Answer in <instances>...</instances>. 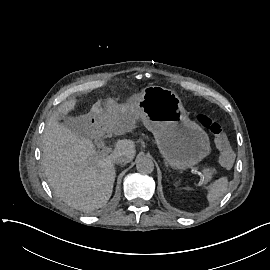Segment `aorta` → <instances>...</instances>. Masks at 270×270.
I'll use <instances>...</instances> for the list:
<instances>
[{
  "mask_svg": "<svg viewBox=\"0 0 270 270\" xmlns=\"http://www.w3.org/2000/svg\"><path fill=\"white\" fill-rule=\"evenodd\" d=\"M136 168L142 174H149L154 170V163L149 157L140 156L136 160Z\"/></svg>",
  "mask_w": 270,
  "mask_h": 270,
  "instance_id": "obj_1",
  "label": "aorta"
}]
</instances>
